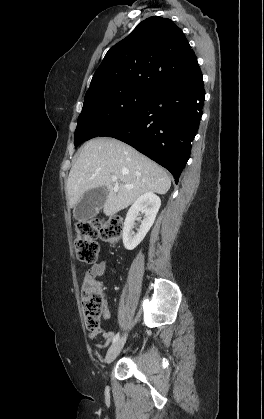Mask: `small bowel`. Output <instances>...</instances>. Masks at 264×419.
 Returning a JSON list of instances; mask_svg holds the SVG:
<instances>
[{
  "label": "small bowel",
  "instance_id": "small-bowel-1",
  "mask_svg": "<svg viewBox=\"0 0 264 419\" xmlns=\"http://www.w3.org/2000/svg\"><path fill=\"white\" fill-rule=\"evenodd\" d=\"M107 270H108L107 264L104 261H102V262L94 264L90 269L85 271L84 277L91 276L98 279L102 277H109L113 275L115 272L114 268H110L109 274H107ZM110 316H111V313L108 307H105L103 311V319L107 320L110 318ZM89 337L91 340L95 342L97 347L103 349V348L108 347V345L110 344L111 340L114 337V332L106 331L100 336V332L91 331L89 334Z\"/></svg>",
  "mask_w": 264,
  "mask_h": 419
}]
</instances>
